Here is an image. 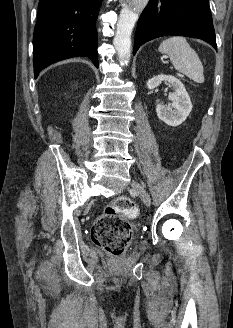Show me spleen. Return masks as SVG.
<instances>
[{
  "label": "spleen",
  "instance_id": "spleen-1",
  "mask_svg": "<svg viewBox=\"0 0 233 328\" xmlns=\"http://www.w3.org/2000/svg\"><path fill=\"white\" fill-rule=\"evenodd\" d=\"M158 50L170 58L179 73H183L196 83L204 82L202 62L185 37H170L160 44Z\"/></svg>",
  "mask_w": 233,
  "mask_h": 328
}]
</instances>
